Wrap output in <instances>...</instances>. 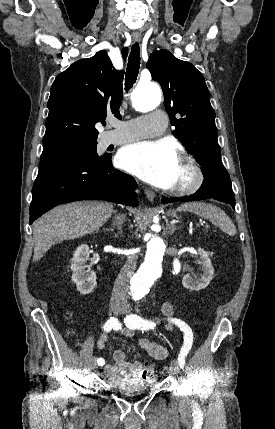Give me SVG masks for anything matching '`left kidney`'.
<instances>
[{"instance_id": "obj_1", "label": "left kidney", "mask_w": 275, "mask_h": 429, "mask_svg": "<svg viewBox=\"0 0 275 429\" xmlns=\"http://www.w3.org/2000/svg\"><path fill=\"white\" fill-rule=\"evenodd\" d=\"M198 254L202 264L201 271L203 272L199 278H192L189 274H186L182 279V284L186 289L193 291H199L205 289L213 278L214 269L209 258V255L202 248H198Z\"/></svg>"}]
</instances>
